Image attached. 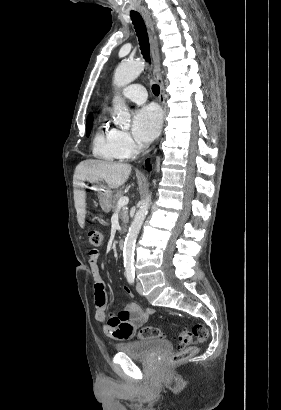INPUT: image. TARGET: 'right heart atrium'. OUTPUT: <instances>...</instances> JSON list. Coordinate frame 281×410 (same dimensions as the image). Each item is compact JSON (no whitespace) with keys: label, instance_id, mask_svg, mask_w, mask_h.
I'll use <instances>...</instances> for the list:
<instances>
[{"label":"right heart atrium","instance_id":"right-heart-atrium-1","mask_svg":"<svg viewBox=\"0 0 281 410\" xmlns=\"http://www.w3.org/2000/svg\"><path fill=\"white\" fill-rule=\"evenodd\" d=\"M117 138L119 146L127 158L137 154L139 146L128 132L117 130Z\"/></svg>","mask_w":281,"mask_h":410}]
</instances>
